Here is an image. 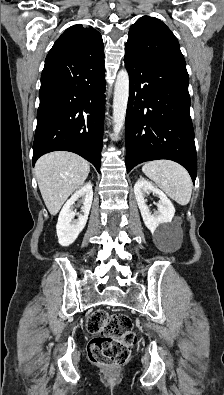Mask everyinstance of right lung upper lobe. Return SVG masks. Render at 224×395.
Returning a JSON list of instances; mask_svg holds the SVG:
<instances>
[{"label": "right lung upper lobe", "mask_w": 224, "mask_h": 395, "mask_svg": "<svg viewBox=\"0 0 224 395\" xmlns=\"http://www.w3.org/2000/svg\"><path fill=\"white\" fill-rule=\"evenodd\" d=\"M59 45L67 46L75 54L86 58L96 59L104 56L101 34L92 27H82L80 24L69 27L53 47Z\"/></svg>", "instance_id": "1"}]
</instances>
